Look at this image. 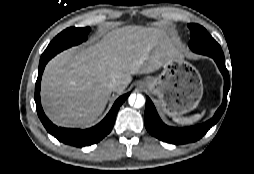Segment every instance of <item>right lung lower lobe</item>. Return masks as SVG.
<instances>
[{
    "mask_svg": "<svg viewBox=\"0 0 254 174\" xmlns=\"http://www.w3.org/2000/svg\"><path fill=\"white\" fill-rule=\"evenodd\" d=\"M47 62L48 61H43L39 63L38 78L36 81L35 96H34V99L36 102L37 114L42 124L51 135H53L62 143L76 146V147L89 146L91 144L98 143L107 134L111 132L115 122L117 112L120 106L129 96V93L119 97L115 101L114 105L112 106L111 110L106 115V117L99 124H97L96 126L92 128L79 130V129H68V128L57 127L51 121H49V119L46 117L40 102L41 77Z\"/></svg>",
    "mask_w": 254,
    "mask_h": 174,
    "instance_id": "98d812e1",
    "label": "right lung lower lobe"
}]
</instances>
